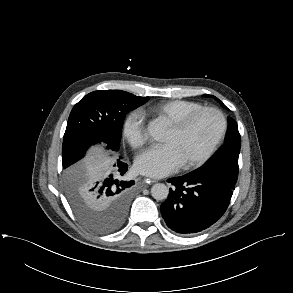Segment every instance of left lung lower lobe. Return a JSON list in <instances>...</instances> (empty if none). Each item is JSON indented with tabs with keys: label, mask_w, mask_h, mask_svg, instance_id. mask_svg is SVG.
Instances as JSON below:
<instances>
[{
	"label": "left lung lower lobe",
	"mask_w": 293,
	"mask_h": 293,
	"mask_svg": "<svg viewBox=\"0 0 293 293\" xmlns=\"http://www.w3.org/2000/svg\"><path fill=\"white\" fill-rule=\"evenodd\" d=\"M173 188L161 205L167 226L180 234H194L210 227L226 211L234 182L213 174L192 171L168 179Z\"/></svg>",
	"instance_id": "0a47b994"
}]
</instances>
